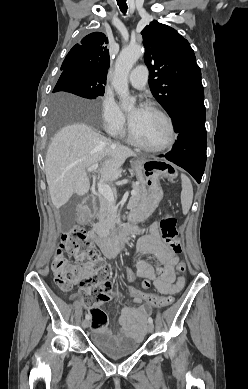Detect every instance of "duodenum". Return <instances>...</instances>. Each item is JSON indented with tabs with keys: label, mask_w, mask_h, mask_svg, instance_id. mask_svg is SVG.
Listing matches in <instances>:
<instances>
[{
	"label": "duodenum",
	"mask_w": 248,
	"mask_h": 389,
	"mask_svg": "<svg viewBox=\"0 0 248 389\" xmlns=\"http://www.w3.org/2000/svg\"><path fill=\"white\" fill-rule=\"evenodd\" d=\"M95 206V201L89 198L87 202L79 207L78 215L82 223H84L90 213V210ZM132 228L130 227L121 238L109 240L107 236L97 237L95 242L107 259L116 258L122 251H124L129 243Z\"/></svg>",
	"instance_id": "obj_1"
}]
</instances>
